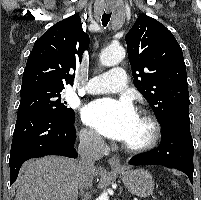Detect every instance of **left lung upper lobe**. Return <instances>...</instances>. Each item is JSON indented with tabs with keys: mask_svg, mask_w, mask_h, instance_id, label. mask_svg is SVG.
<instances>
[{
	"mask_svg": "<svg viewBox=\"0 0 201 200\" xmlns=\"http://www.w3.org/2000/svg\"><path fill=\"white\" fill-rule=\"evenodd\" d=\"M125 39L134 84L160 124L177 114L189 115L186 66L173 34L157 20L141 14Z\"/></svg>",
	"mask_w": 201,
	"mask_h": 200,
	"instance_id": "obj_1",
	"label": "left lung upper lobe"
}]
</instances>
